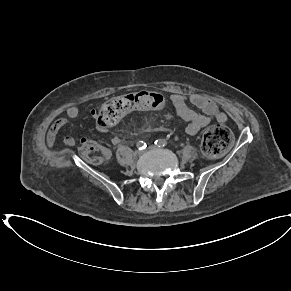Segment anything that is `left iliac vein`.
<instances>
[{
	"label": "left iliac vein",
	"instance_id": "4c4485c4",
	"mask_svg": "<svg viewBox=\"0 0 291 291\" xmlns=\"http://www.w3.org/2000/svg\"><path fill=\"white\" fill-rule=\"evenodd\" d=\"M156 146H150L148 149H155Z\"/></svg>",
	"mask_w": 291,
	"mask_h": 291
}]
</instances>
